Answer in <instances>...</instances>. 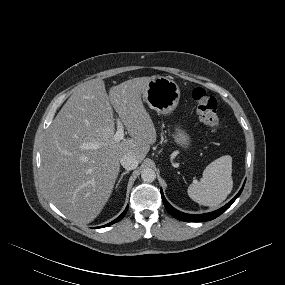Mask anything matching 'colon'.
I'll use <instances>...</instances> for the list:
<instances>
[{
  "instance_id": "1",
  "label": "colon",
  "mask_w": 285,
  "mask_h": 285,
  "mask_svg": "<svg viewBox=\"0 0 285 285\" xmlns=\"http://www.w3.org/2000/svg\"><path fill=\"white\" fill-rule=\"evenodd\" d=\"M192 100L196 114L212 133L217 132L221 127V122L217 115V101L203 88H195L192 92Z\"/></svg>"
}]
</instances>
